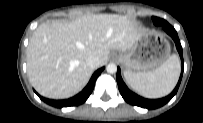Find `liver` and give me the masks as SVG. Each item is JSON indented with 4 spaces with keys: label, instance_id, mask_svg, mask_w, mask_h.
<instances>
[{
    "label": "liver",
    "instance_id": "obj_1",
    "mask_svg": "<svg viewBox=\"0 0 203 123\" xmlns=\"http://www.w3.org/2000/svg\"><path fill=\"white\" fill-rule=\"evenodd\" d=\"M147 31L124 15L93 14L41 24L27 47L29 81L42 96L66 99L80 92L94 69L89 56L108 61L110 50H128ZM97 67V68H98Z\"/></svg>",
    "mask_w": 203,
    "mask_h": 123
}]
</instances>
